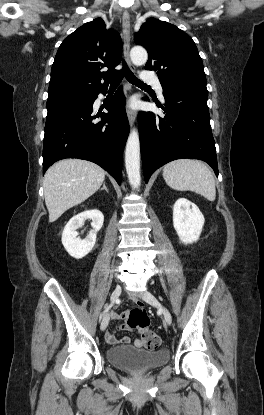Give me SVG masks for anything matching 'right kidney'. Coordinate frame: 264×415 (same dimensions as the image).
Wrapping results in <instances>:
<instances>
[{
	"instance_id": "obj_1",
	"label": "right kidney",
	"mask_w": 264,
	"mask_h": 415,
	"mask_svg": "<svg viewBox=\"0 0 264 415\" xmlns=\"http://www.w3.org/2000/svg\"><path fill=\"white\" fill-rule=\"evenodd\" d=\"M92 220V230L81 240L78 237V228L82 227L84 221ZM104 216L99 210H87L73 216L66 224L62 233V244L68 254L76 259L85 257L94 247L97 232L102 228Z\"/></svg>"
}]
</instances>
